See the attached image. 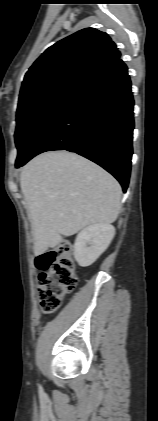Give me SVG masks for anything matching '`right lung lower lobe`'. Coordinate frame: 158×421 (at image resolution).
<instances>
[{"instance_id":"98d812e1","label":"right lung lower lobe","mask_w":158,"mask_h":421,"mask_svg":"<svg viewBox=\"0 0 158 421\" xmlns=\"http://www.w3.org/2000/svg\"><path fill=\"white\" fill-rule=\"evenodd\" d=\"M133 105L127 66L119 58L83 84L16 168L42 152L67 150L106 169L126 192L133 153Z\"/></svg>"}]
</instances>
